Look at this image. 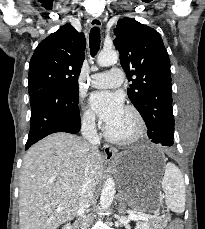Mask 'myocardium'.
<instances>
[{
  "label": "myocardium",
  "mask_w": 205,
  "mask_h": 229,
  "mask_svg": "<svg viewBox=\"0 0 205 229\" xmlns=\"http://www.w3.org/2000/svg\"><path fill=\"white\" fill-rule=\"evenodd\" d=\"M125 110L134 118L135 129L127 136H116L112 134L107 126L104 127L103 133L107 140L117 144H130L138 141L144 134L145 122L141 113L134 106H127Z\"/></svg>",
  "instance_id": "obj_1"
}]
</instances>
